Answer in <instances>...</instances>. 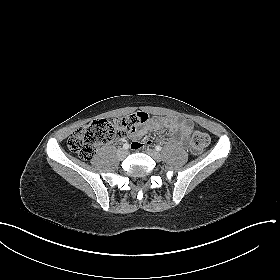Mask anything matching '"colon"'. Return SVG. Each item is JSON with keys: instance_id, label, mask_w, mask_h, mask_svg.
<instances>
[{"instance_id": "colon-1", "label": "colon", "mask_w": 280, "mask_h": 280, "mask_svg": "<svg viewBox=\"0 0 280 280\" xmlns=\"http://www.w3.org/2000/svg\"><path fill=\"white\" fill-rule=\"evenodd\" d=\"M147 120L145 113L130 115L121 120L98 119L88 125L75 130L68 140V147L77 153L80 158L90 160L98 146L111 142L114 138L122 136L127 132H132L135 127ZM209 136L195 130L190 136V147L194 154L201 153L209 144ZM142 147L140 142H133L132 148Z\"/></svg>"}]
</instances>
